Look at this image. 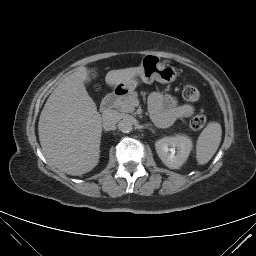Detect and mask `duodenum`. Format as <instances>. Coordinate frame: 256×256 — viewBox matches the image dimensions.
I'll use <instances>...</instances> for the list:
<instances>
[{"label": "duodenum", "instance_id": "410a0bca", "mask_svg": "<svg viewBox=\"0 0 256 256\" xmlns=\"http://www.w3.org/2000/svg\"><path fill=\"white\" fill-rule=\"evenodd\" d=\"M125 94L126 91L121 88H117L116 90L108 94L101 103V111L103 113L109 112L113 108L115 103Z\"/></svg>", "mask_w": 256, "mask_h": 256}]
</instances>
